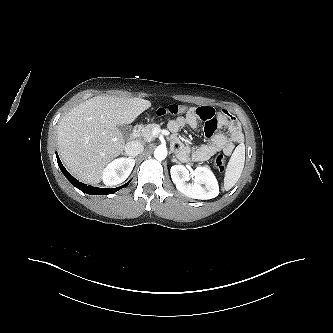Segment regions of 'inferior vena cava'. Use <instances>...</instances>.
Wrapping results in <instances>:
<instances>
[{
	"label": "inferior vena cava",
	"mask_w": 333,
	"mask_h": 333,
	"mask_svg": "<svg viewBox=\"0 0 333 333\" xmlns=\"http://www.w3.org/2000/svg\"><path fill=\"white\" fill-rule=\"evenodd\" d=\"M144 146L138 141H131L125 145V152L129 156H136L142 153Z\"/></svg>",
	"instance_id": "602c4592"
}]
</instances>
